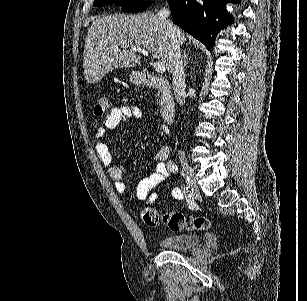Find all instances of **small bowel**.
Wrapping results in <instances>:
<instances>
[{"label":"small bowel","instance_id":"1","mask_svg":"<svg viewBox=\"0 0 307 301\" xmlns=\"http://www.w3.org/2000/svg\"><path fill=\"white\" fill-rule=\"evenodd\" d=\"M141 110L137 106L113 107L106 115L103 125L95 133V149L101 162L107 167L108 175L115 183L116 190L127 199H138L153 203L157 199V194L153 191L163 183L169 176V169L164 163L167 157V149L161 148L155 159L157 160L154 171L140 181L135 190L131 189L124 182V169L121 165L113 163L112 154L106 141V132L117 128L125 123L129 118H140ZM171 197L174 200H182L183 192L180 187L171 188Z\"/></svg>","mask_w":307,"mask_h":301}]
</instances>
